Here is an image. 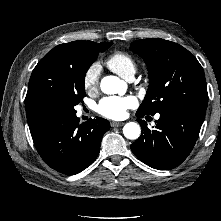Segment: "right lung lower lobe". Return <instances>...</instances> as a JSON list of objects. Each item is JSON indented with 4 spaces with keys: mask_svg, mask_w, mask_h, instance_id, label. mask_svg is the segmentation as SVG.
<instances>
[{
    "mask_svg": "<svg viewBox=\"0 0 221 221\" xmlns=\"http://www.w3.org/2000/svg\"><path fill=\"white\" fill-rule=\"evenodd\" d=\"M35 147L54 170L67 175L86 169L98 156L110 124L96 117L79 123L76 111L42 106L26 112Z\"/></svg>",
    "mask_w": 221,
    "mask_h": 221,
    "instance_id": "98d812e1",
    "label": "right lung lower lobe"
}]
</instances>
